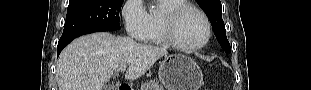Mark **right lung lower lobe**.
<instances>
[{"label":"right lung lower lobe","instance_id":"98d812e1","mask_svg":"<svg viewBox=\"0 0 311 90\" xmlns=\"http://www.w3.org/2000/svg\"><path fill=\"white\" fill-rule=\"evenodd\" d=\"M73 39L69 40V41H66V42H61V43H58V46H57V54L59 56L60 52L62 51V49L68 45Z\"/></svg>","mask_w":311,"mask_h":90}]
</instances>
